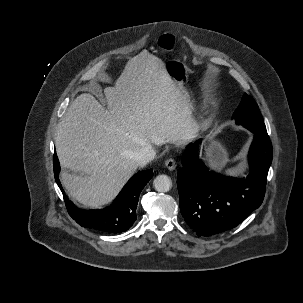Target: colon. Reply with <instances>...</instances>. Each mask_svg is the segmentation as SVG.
<instances>
[{"label": "colon", "mask_w": 303, "mask_h": 303, "mask_svg": "<svg viewBox=\"0 0 303 303\" xmlns=\"http://www.w3.org/2000/svg\"><path fill=\"white\" fill-rule=\"evenodd\" d=\"M174 37L172 35H163L159 40V45L164 50H172L174 48Z\"/></svg>", "instance_id": "1"}]
</instances>
